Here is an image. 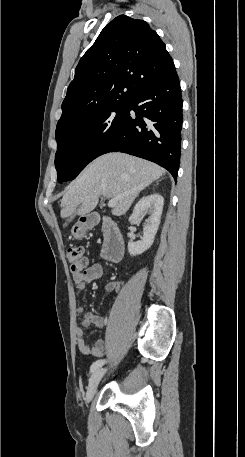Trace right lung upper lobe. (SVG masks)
Here are the masks:
<instances>
[{
    "mask_svg": "<svg viewBox=\"0 0 245 457\" xmlns=\"http://www.w3.org/2000/svg\"><path fill=\"white\" fill-rule=\"evenodd\" d=\"M174 70L158 34L145 21L120 15L80 59L57 126L109 103L130 101L149 80Z\"/></svg>",
    "mask_w": 245,
    "mask_h": 457,
    "instance_id": "cb5924a9",
    "label": "right lung upper lobe"
}]
</instances>
